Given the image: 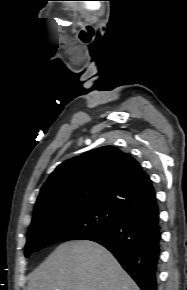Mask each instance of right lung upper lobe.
I'll list each match as a JSON object with an SVG mask.
<instances>
[{
  "label": "right lung upper lobe",
  "mask_w": 187,
  "mask_h": 290,
  "mask_svg": "<svg viewBox=\"0 0 187 290\" xmlns=\"http://www.w3.org/2000/svg\"><path fill=\"white\" fill-rule=\"evenodd\" d=\"M111 207L123 216L158 209L148 175L128 153L103 146L61 163L42 186L33 221L84 206Z\"/></svg>",
  "instance_id": "right-lung-upper-lobe-1"
}]
</instances>
